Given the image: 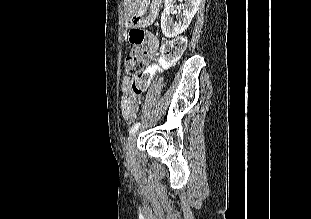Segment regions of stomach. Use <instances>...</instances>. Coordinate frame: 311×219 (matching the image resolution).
Segmentation results:
<instances>
[{
	"label": "stomach",
	"mask_w": 311,
	"mask_h": 219,
	"mask_svg": "<svg viewBox=\"0 0 311 219\" xmlns=\"http://www.w3.org/2000/svg\"><path fill=\"white\" fill-rule=\"evenodd\" d=\"M161 0H139L138 7L129 18V24L138 27L150 26L157 17Z\"/></svg>",
	"instance_id": "stomach-1"
}]
</instances>
